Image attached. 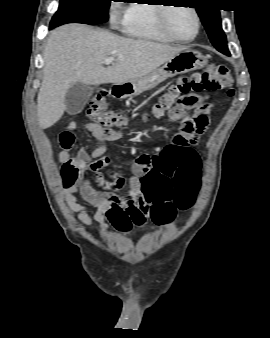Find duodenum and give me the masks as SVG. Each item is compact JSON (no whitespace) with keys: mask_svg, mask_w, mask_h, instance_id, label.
Wrapping results in <instances>:
<instances>
[{"mask_svg":"<svg viewBox=\"0 0 270 338\" xmlns=\"http://www.w3.org/2000/svg\"><path fill=\"white\" fill-rule=\"evenodd\" d=\"M111 95L116 99H120L125 95V88L123 86H115L111 90Z\"/></svg>","mask_w":270,"mask_h":338,"instance_id":"duodenum-1","label":"duodenum"}]
</instances>
